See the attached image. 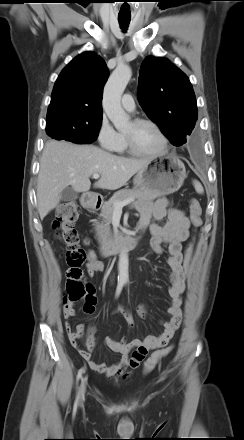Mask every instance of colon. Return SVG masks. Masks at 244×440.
I'll use <instances>...</instances> for the list:
<instances>
[{
    "instance_id": "5ec220e1",
    "label": "colon",
    "mask_w": 244,
    "mask_h": 440,
    "mask_svg": "<svg viewBox=\"0 0 244 440\" xmlns=\"http://www.w3.org/2000/svg\"><path fill=\"white\" fill-rule=\"evenodd\" d=\"M202 208L198 200L190 201V219L193 227L198 228L202 224ZM78 215V206L74 201L61 204L57 210L52 226L57 237L66 245L65 257L69 266L66 273V294L64 298V312L72 311L77 302L84 301L85 308L90 309L95 298L94 288L90 283L83 280L81 266L86 260V252L79 246L80 236L75 228V221ZM193 254L192 241L188 242L183 259L184 274L189 270ZM91 261L95 260L90 257ZM173 347L169 346L154 352L145 362L144 373H150L158 362L170 354ZM138 353L146 355L145 349H139Z\"/></svg>"
}]
</instances>
